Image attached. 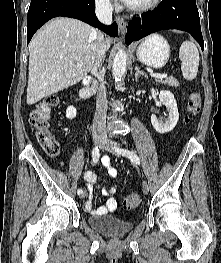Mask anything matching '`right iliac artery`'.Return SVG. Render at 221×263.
<instances>
[{
  "mask_svg": "<svg viewBox=\"0 0 221 263\" xmlns=\"http://www.w3.org/2000/svg\"><path fill=\"white\" fill-rule=\"evenodd\" d=\"M100 157V152H99V148L98 146H96L93 151H92V159H93V163H97ZM83 192L82 189H78L77 193L78 195H80Z\"/></svg>",
  "mask_w": 221,
  "mask_h": 263,
  "instance_id": "82829eb1",
  "label": "right iliac artery"
}]
</instances>
